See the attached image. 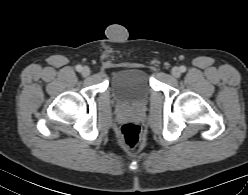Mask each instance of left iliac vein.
<instances>
[{
    "label": "left iliac vein",
    "instance_id": "1",
    "mask_svg": "<svg viewBox=\"0 0 248 195\" xmlns=\"http://www.w3.org/2000/svg\"><path fill=\"white\" fill-rule=\"evenodd\" d=\"M171 73H172L173 77H175V78L180 77V75H181L180 68H178V67L172 68Z\"/></svg>",
    "mask_w": 248,
    "mask_h": 195
}]
</instances>
